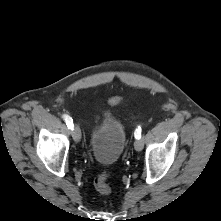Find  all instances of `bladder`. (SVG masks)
Here are the masks:
<instances>
[{"mask_svg":"<svg viewBox=\"0 0 221 221\" xmlns=\"http://www.w3.org/2000/svg\"><path fill=\"white\" fill-rule=\"evenodd\" d=\"M126 143V131L123 123L105 115L97 124L90 138L92 154L103 165L117 162Z\"/></svg>","mask_w":221,"mask_h":221,"instance_id":"obj_1","label":"bladder"}]
</instances>
